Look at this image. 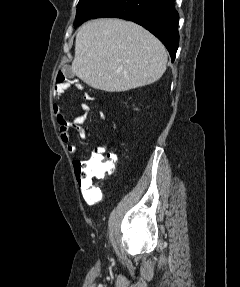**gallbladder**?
<instances>
[{
    "label": "gallbladder",
    "instance_id": "obj_1",
    "mask_svg": "<svg viewBox=\"0 0 240 287\" xmlns=\"http://www.w3.org/2000/svg\"><path fill=\"white\" fill-rule=\"evenodd\" d=\"M65 74L68 78L74 77V74L69 67L66 68Z\"/></svg>",
    "mask_w": 240,
    "mask_h": 287
}]
</instances>
